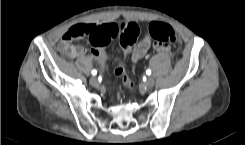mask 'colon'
Returning a JSON list of instances; mask_svg holds the SVG:
<instances>
[{"mask_svg": "<svg viewBox=\"0 0 245 145\" xmlns=\"http://www.w3.org/2000/svg\"><path fill=\"white\" fill-rule=\"evenodd\" d=\"M140 32L149 37L157 43L164 45H171L177 40L175 30L164 23L153 21L140 29V27L134 22H124L118 26L109 27L110 40L118 38L120 52L118 55V67L116 74L121 78L123 84L130 90H134L135 83L128 78L125 73L124 60L133 45L138 38ZM97 31L88 24H76L73 25L65 34L64 39L71 41L74 39L88 38L91 41L95 39Z\"/></svg>", "mask_w": 245, "mask_h": 145, "instance_id": "obj_1", "label": "colon"}]
</instances>
